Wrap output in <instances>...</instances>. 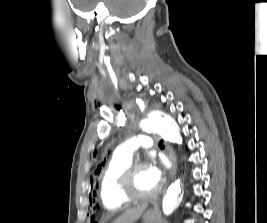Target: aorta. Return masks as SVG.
Here are the masks:
<instances>
[{"label": "aorta", "mask_w": 267, "mask_h": 223, "mask_svg": "<svg viewBox=\"0 0 267 223\" xmlns=\"http://www.w3.org/2000/svg\"><path fill=\"white\" fill-rule=\"evenodd\" d=\"M145 131H153L162 136L169 142L182 144V137L179 132L178 125L169 116L152 115L140 124ZM182 188L180 180L173 182L167 189L162 200V209L165 215H170L173 210L178 207L182 200Z\"/></svg>", "instance_id": "1"}]
</instances>
